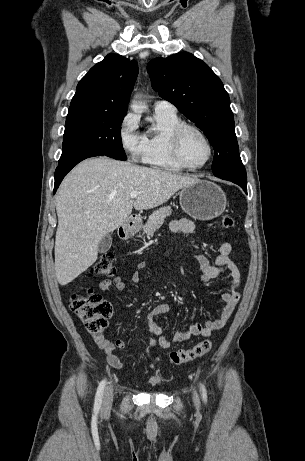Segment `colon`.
I'll list each match as a JSON object with an SVG mask.
<instances>
[{"label": "colon", "instance_id": "1", "mask_svg": "<svg viewBox=\"0 0 305 461\" xmlns=\"http://www.w3.org/2000/svg\"><path fill=\"white\" fill-rule=\"evenodd\" d=\"M221 227L223 229L234 228V218L231 215H224L221 219ZM113 261L112 254H103L94 265L93 273L102 277L115 276L117 269ZM70 308L91 334H100L105 329L106 321L113 312L110 302L92 290L87 295L73 294L70 299ZM211 348L212 341L206 339L192 348L170 352L169 358L172 363L179 365L204 356Z\"/></svg>", "mask_w": 305, "mask_h": 461}]
</instances>
